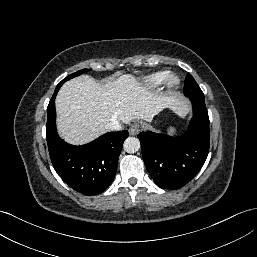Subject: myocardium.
Masks as SVG:
<instances>
[{
  "instance_id": "1",
  "label": "myocardium",
  "mask_w": 257,
  "mask_h": 257,
  "mask_svg": "<svg viewBox=\"0 0 257 257\" xmlns=\"http://www.w3.org/2000/svg\"><path fill=\"white\" fill-rule=\"evenodd\" d=\"M164 83L169 89L176 88L180 84V77L175 73L168 74Z\"/></svg>"
}]
</instances>
